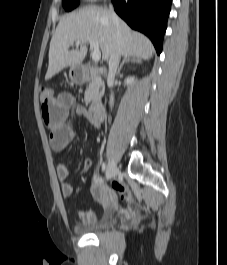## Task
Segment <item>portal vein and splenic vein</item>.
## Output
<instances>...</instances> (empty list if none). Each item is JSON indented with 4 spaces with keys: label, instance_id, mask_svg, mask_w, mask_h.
<instances>
[{
    "label": "portal vein and splenic vein",
    "instance_id": "portal-vein-and-splenic-vein-1",
    "mask_svg": "<svg viewBox=\"0 0 227 265\" xmlns=\"http://www.w3.org/2000/svg\"><path fill=\"white\" fill-rule=\"evenodd\" d=\"M90 47L94 49L92 53V59L93 61H99L101 59V52L99 50V44L97 41H89ZM81 44V40L76 41V45Z\"/></svg>",
    "mask_w": 227,
    "mask_h": 265
}]
</instances>
